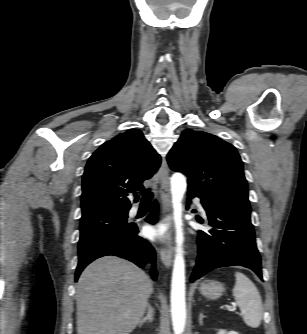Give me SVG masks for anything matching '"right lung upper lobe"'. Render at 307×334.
Wrapping results in <instances>:
<instances>
[{"label": "right lung upper lobe", "instance_id": "cb5924a9", "mask_svg": "<svg viewBox=\"0 0 307 334\" xmlns=\"http://www.w3.org/2000/svg\"><path fill=\"white\" fill-rule=\"evenodd\" d=\"M160 163V156L138 129L102 144L89 158L83 174L82 216L128 212L131 204L125 192L143 189L142 182L155 174Z\"/></svg>", "mask_w": 307, "mask_h": 334}]
</instances>
